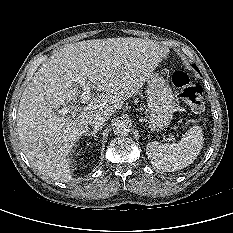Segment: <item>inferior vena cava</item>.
I'll list each match as a JSON object with an SVG mask.
<instances>
[{
    "label": "inferior vena cava",
    "mask_w": 233,
    "mask_h": 233,
    "mask_svg": "<svg viewBox=\"0 0 233 233\" xmlns=\"http://www.w3.org/2000/svg\"><path fill=\"white\" fill-rule=\"evenodd\" d=\"M107 120V116L101 112H95L88 118V123L94 128L102 127Z\"/></svg>",
    "instance_id": "1"
}]
</instances>
